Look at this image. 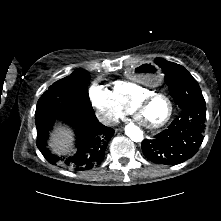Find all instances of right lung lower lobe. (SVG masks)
Masks as SVG:
<instances>
[{"label": "right lung lower lobe", "mask_w": 221, "mask_h": 221, "mask_svg": "<svg viewBox=\"0 0 221 221\" xmlns=\"http://www.w3.org/2000/svg\"><path fill=\"white\" fill-rule=\"evenodd\" d=\"M60 118L76 130V152L69 158H62L51 154L46 148L48 133L55 123L53 120L37 126V147L45 159L51 164L75 171L89 170L100 164L115 131L100 124L95 114L92 116L65 115Z\"/></svg>", "instance_id": "98d812e1"}]
</instances>
